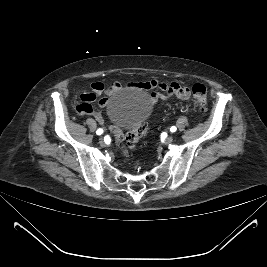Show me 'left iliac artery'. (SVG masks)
Masks as SVG:
<instances>
[{"label":"left iliac artery","mask_w":267,"mask_h":267,"mask_svg":"<svg viewBox=\"0 0 267 267\" xmlns=\"http://www.w3.org/2000/svg\"><path fill=\"white\" fill-rule=\"evenodd\" d=\"M176 129H177V128H176L175 126H172V127L170 128V131H171V132H175Z\"/></svg>","instance_id":"left-iliac-artery-1"}]
</instances>
